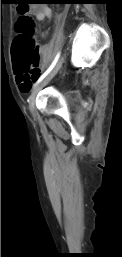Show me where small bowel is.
I'll list each match as a JSON object with an SVG mask.
<instances>
[{"mask_svg": "<svg viewBox=\"0 0 122 257\" xmlns=\"http://www.w3.org/2000/svg\"><path fill=\"white\" fill-rule=\"evenodd\" d=\"M31 15L38 21H46L51 19L52 10L46 5L35 6L34 9L31 11ZM42 52L44 55V63H46L49 59V56L47 54V49L44 47L42 49ZM35 78H31L30 80H27L25 77L17 74L16 81H17L19 90L23 93L28 92Z\"/></svg>", "mask_w": 122, "mask_h": 257, "instance_id": "obj_1", "label": "small bowel"}]
</instances>
